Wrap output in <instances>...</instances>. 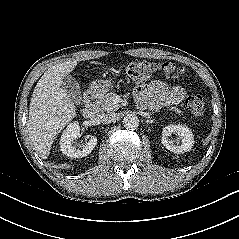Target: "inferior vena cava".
<instances>
[{"mask_svg":"<svg viewBox=\"0 0 239 239\" xmlns=\"http://www.w3.org/2000/svg\"><path fill=\"white\" fill-rule=\"evenodd\" d=\"M99 119L102 123H105V124L112 123L117 119V114L114 112L103 113L99 115Z\"/></svg>","mask_w":239,"mask_h":239,"instance_id":"obj_1","label":"inferior vena cava"}]
</instances>
